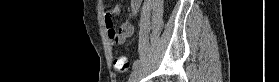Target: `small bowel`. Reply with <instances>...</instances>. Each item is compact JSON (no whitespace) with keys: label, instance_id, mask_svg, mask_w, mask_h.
I'll return each instance as SVG.
<instances>
[{"label":"small bowel","instance_id":"c3829d8e","mask_svg":"<svg viewBox=\"0 0 279 82\" xmlns=\"http://www.w3.org/2000/svg\"><path fill=\"white\" fill-rule=\"evenodd\" d=\"M141 5V0L130 1V14L132 18H135L138 15ZM120 11V5H115L108 11L105 17L108 37L111 45L123 44L134 32L133 23L130 21L123 23L118 28L114 27L111 17L118 15Z\"/></svg>","mask_w":279,"mask_h":82}]
</instances>
